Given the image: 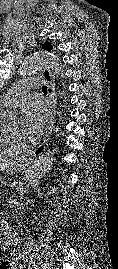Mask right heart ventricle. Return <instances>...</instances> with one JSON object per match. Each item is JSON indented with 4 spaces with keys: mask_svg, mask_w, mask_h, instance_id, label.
<instances>
[{
    "mask_svg": "<svg viewBox=\"0 0 118 269\" xmlns=\"http://www.w3.org/2000/svg\"><path fill=\"white\" fill-rule=\"evenodd\" d=\"M18 151V146L14 145L7 137L0 134V154H14Z\"/></svg>",
    "mask_w": 118,
    "mask_h": 269,
    "instance_id": "right-heart-ventricle-1",
    "label": "right heart ventricle"
}]
</instances>
